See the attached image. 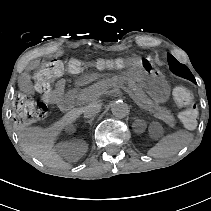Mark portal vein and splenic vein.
Returning a JSON list of instances; mask_svg holds the SVG:
<instances>
[{
	"mask_svg": "<svg viewBox=\"0 0 211 211\" xmlns=\"http://www.w3.org/2000/svg\"><path fill=\"white\" fill-rule=\"evenodd\" d=\"M119 87H121L123 90H125L129 94V96L132 98L133 101L135 100L134 97H133L132 92L129 90V86L123 85V84H119ZM134 102H135V105L138 106V107H140L142 110L146 108L142 104L137 103L136 100Z\"/></svg>",
	"mask_w": 211,
	"mask_h": 211,
	"instance_id": "obj_1",
	"label": "portal vein and splenic vein"
}]
</instances>
